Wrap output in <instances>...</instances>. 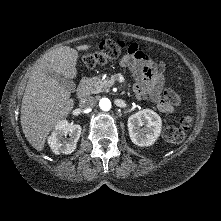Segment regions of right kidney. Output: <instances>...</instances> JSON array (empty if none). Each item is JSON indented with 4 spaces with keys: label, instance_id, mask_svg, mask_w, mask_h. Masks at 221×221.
<instances>
[{
    "label": "right kidney",
    "instance_id": "obj_1",
    "mask_svg": "<svg viewBox=\"0 0 221 221\" xmlns=\"http://www.w3.org/2000/svg\"><path fill=\"white\" fill-rule=\"evenodd\" d=\"M81 126L70 124L67 120H61L55 125V130L48 138V144L52 151L59 154H71L75 151L81 135ZM69 135V138L66 136Z\"/></svg>",
    "mask_w": 221,
    "mask_h": 221
}]
</instances>
